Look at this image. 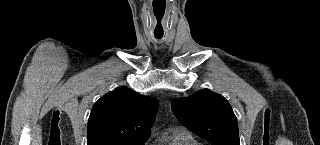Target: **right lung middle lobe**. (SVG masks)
I'll list each match as a JSON object with an SVG mask.
<instances>
[{
    "label": "right lung middle lobe",
    "instance_id": "dd1d6c3e",
    "mask_svg": "<svg viewBox=\"0 0 320 145\" xmlns=\"http://www.w3.org/2000/svg\"><path fill=\"white\" fill-rule=\"evenodd\" d=\"M144 142L139 143H118V142H110V143H102L100 145H143Z\"/></svg>",
    "mask_w": 320,
    "mask_h": 145
}]
</instances>
